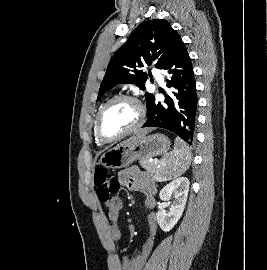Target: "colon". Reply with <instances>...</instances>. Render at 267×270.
<instances>
[{"label": "colon", "mask_w": 267, "mask_h": 270, "mask_svg": "<svg viewBox=\"0 0 267 270\" xmlns=\"http://www.w3.org/2000/svg\"><path fill=\"white\" fill-rule=\"evenodd\" d=\"M94 182L97 198L101 202H108L120 190V180L104 169L95 172Z\"/></svg>", "instance_id": "obj_1"}]
</instances>
